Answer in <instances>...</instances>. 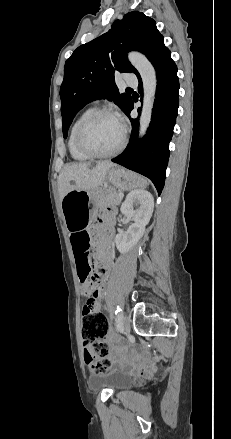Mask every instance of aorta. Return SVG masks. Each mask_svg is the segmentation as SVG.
Returning a JSON list of instances; mask_svg holds the SVG:
<instances>
[{
	"label": "aorta",
	"mask_w": 231,
	"mask_h": 439,
	"mask_svg": "<svg viewBox=\"0 0 231 439\" xmlns=\"http://www.w3.org/2000/svg\"><path fill=\"white\" fill-rule=\"evenodd\" d=\"M128 59L139 72L143 82V106L139 121V134L142 137L151 122L157 87L156 71L150 61L141 53L131 52L128 55Z\"/></svg>",
	"instance_id": "1"
}]
</instances>
